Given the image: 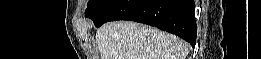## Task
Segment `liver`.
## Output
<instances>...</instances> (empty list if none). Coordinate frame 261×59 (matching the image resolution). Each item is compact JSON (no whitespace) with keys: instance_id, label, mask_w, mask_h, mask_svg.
<instances>
[{"instance_id":"6515ba94","label":"liver","mask_w":261,"mask_h":59,"mask_svg":"<svg viewBox=\"0 0 261 59\" xmlns=\"http://www.w3.org/2000/svg\"><path fill=\"white\" fill-rule=\"evenodd\" d=\"M101 59H186V43L134 22H109L96 32Z\"/></svg>"}]
</instances>
